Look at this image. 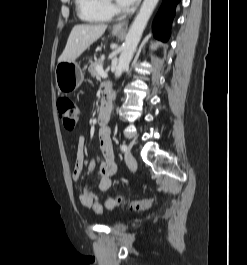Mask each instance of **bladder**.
Instances as JSON below:
<instances>
[{
	"label": "bladder",
	"instance_id": "bladder-1",
	"mask_svg": "<svg viewBox=\"0 0 247 265\" xmlns=\"http://www.w3.org/2000/svg\"><path fill=\"white\" fill-rule=\"evenodd\" d=\"M113 227L117 230H125L127 228L126 224L121 223V222H115L113 224Z\"/></svg>",
	"mask_w": 247,
	"mask_h": 265
}]
</instances>
